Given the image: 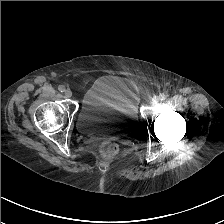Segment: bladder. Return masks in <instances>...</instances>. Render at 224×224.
<instances>
[{
	"label": "bladder",
	"mask_w": 224,
	"mask_h": 224,
	"mask_svg": "<svg viewBox=\"0 0 224 224\" xmlns=\"http://www.w3.org/2000/svg\"><path fill=\"white\" fill-rule=\"evenodd\" d=\"M138 104L123 80L113 75L98 77L82 96L76 118L80 134L126 138L138 126Z\"/></svg>",
	"instance_id": "1"
}]
</instances>
